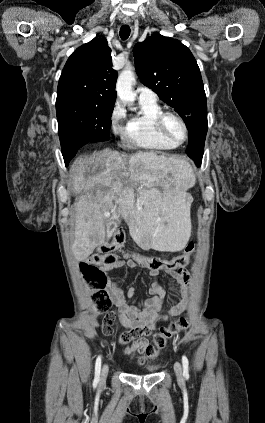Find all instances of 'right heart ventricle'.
Segmentation results:
<instances>
[{"instance_id":"right-heart-ventricle-1","label":"right heart ventricle","mask_w":265,"mask_h":423,"mask_svg":"<svg viewBox=\"0 0 265 423\" xmlns=\"http://www.w3.org/2000/svg\"><path fill=\"white\" fill-rule=\"evenodd\" d=\"M163 111L155 101L139 100V112L133 115L122 131L126 144L150 151H170L177 144L164 138L157 129L156 119Z\"/></svg>"}]
</instances>
